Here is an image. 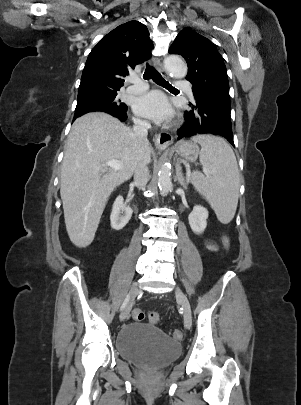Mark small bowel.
<instances>
[{"label":"small bowel","mask_w":301,"mask_h":405,"mask_svg":"<svg viewBox=\"0 0 301 405\" xmlns=\"http://www.w3.org/2000/svg\"><path fill=\"white\" fill-rule=\"evenodd\" d=\"M206 248L211 251L216 250V246L212 243H206Z\"/></svg>","instance_id":"obj_1"}]
</instances>
